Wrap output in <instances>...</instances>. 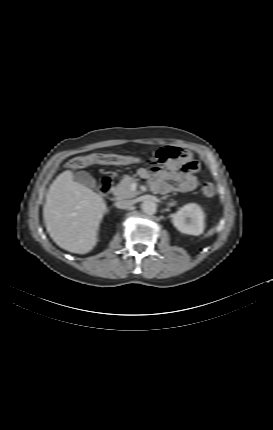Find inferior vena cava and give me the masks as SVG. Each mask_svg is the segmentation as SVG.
<instances>
[{
  "label": "inferior vena cava",
  "instance_id": "1",
  "mask_svg": "<svg viewBox=\"0 0 273 430\" xmlns=\"http://www.w3.org/2000/svg\"><path fill=\"white\" fill-rule=\"evenodd\" d=\"M115 206L120 209H127L132 206L131 200H119L115 203Z\"/></svg>",
  "mask_w": 273,
  "mask_h": 430
}]
</instances>
